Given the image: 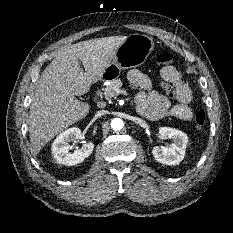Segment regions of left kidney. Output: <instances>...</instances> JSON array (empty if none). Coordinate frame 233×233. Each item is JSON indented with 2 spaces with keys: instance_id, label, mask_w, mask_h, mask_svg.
I'll return each instance as SVG.
<instances>
[{
  "instance_id": "obj_1",
  "label": "left kidney",
  "mask_w": 233,
  "mask_h": 233,
  "mask_svg": "<svg viewBox=\"0 0 233 233\" xmlns=\"http://www.w3.org/2000/svg\"><path fill=\"white\" fill-rule=\"evenodd\" d=\"M159 133L163 138H170L173 142L168 147L155 146L152 150L155 160L166 165L179 164L185 156L188 136L180 130L169 127L159 128Z\"/></svg>"
}]
</instances>
